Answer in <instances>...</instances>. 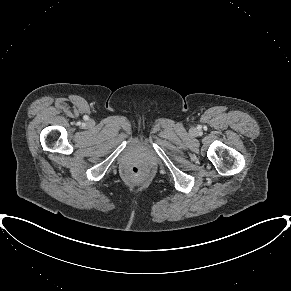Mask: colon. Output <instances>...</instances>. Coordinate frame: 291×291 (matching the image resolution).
<instances>
[{
    "label": "colon",
    "instance_id": "colon-1",
    "mask_svg": "<svg viewBox=\"0 0 291 291\" xmlns=\"http://www.w3.org/2000/svg\"><path fill=\"white\" fill-rule=\"evenodd\" d=\"M129 171H130L131 174L136 175V174H138L140 172V168H138V167H131L129 169Z\"/></svg>",
    "mask_w": 291,
    "mask_h": 291
}]
</instances>
